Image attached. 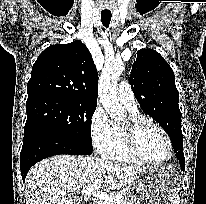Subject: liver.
<instances>
[{
	"instance_id": "obj_1",
	"label": "liver",
	"mask_w": 206,
	"mask_h": 204,
	"mask_svg": "<svg viewBox=\"0 0 206 204\" xmlns=\"http://www.w3.org/2000/svg\"><path fill=\"white\" fill-rule=\"evenodd\" d=\"M146 169L93 156H53L29 170L25 181L26 204H77L73 193H79L97 179H102V190L110 192L132 184Z\"/></svg>"
}]
</instances>
